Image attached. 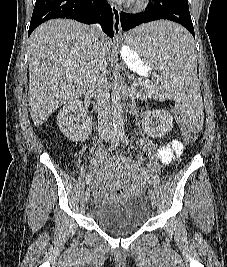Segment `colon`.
I'll use <instances>...</instances> for the list:
<instances>
[{"mask_svg":"<svg viewBox=\"0 0 227 267\" xmlns=\"http://www.w3.org/2000/svg\"><path fill=\"white\" fill-rule=\"evenodd\" d=\"M168 112L173 116V120H175V125H180L181 128V140H186V144H195L196 136L194 135V131L187 128L185 121L181 120L182 116L180 112L177 111L175 104L168 105Z\"/></svg>","mask_w":227,"mask_h":267,"instance_id":"1","label":"colon"}]
</instances>
